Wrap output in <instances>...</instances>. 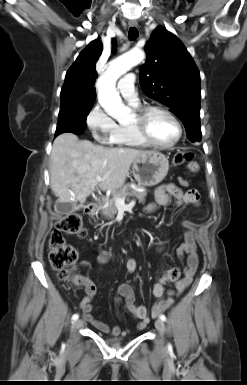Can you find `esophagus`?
Returning <instances> with one entry per match:
<instances>
[{"mask_svg": "<svg viewBox=\"0 0 247 385\" xmlns=\"http://www.w3.org/2000/svg\"><path fill=\"white\" fill-rule=\"evenodd\" d=\"M129 26L130 27H137L138 26V23L136 21H130L129 22Z\"/></svg>", "mask_w": 247, "mask_h": 385, "instance_id": "obj_1", "label": "esophagus"}]
</instances>
